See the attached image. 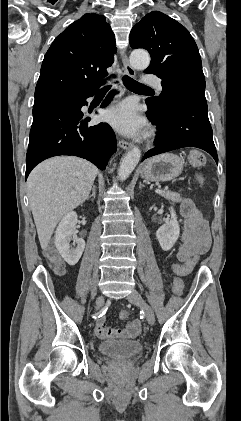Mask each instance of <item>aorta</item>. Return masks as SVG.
<instances>
[{"mask_svg":"<svg viewBox=\"0 0 241 421\" xmlns=\"http://www.w3.org/2000/svg\"><path fill=\"white\" fill-rule=\"evenodd\" d=\"M130 63L134 69L144 70L150 64L149 53L143 49H136L130 55ZM141 157L139 148L134 147L130 150L120 162L118 175L120 179L126 180L131 172L135 169Z\"/></svg>","mask_w":241,"mask_h":421,"instance_id":"obj_1","label":"aorta"}]
</instances>
